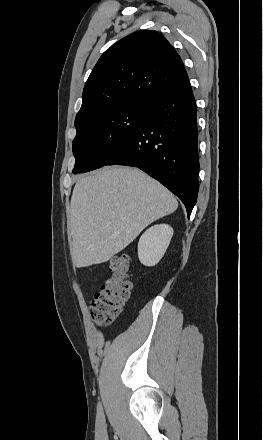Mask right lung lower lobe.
Returning <instances> with one entry per match:
<instances>
[{
    "mask_svg": "<svg viewBox=\"0 0 263 440\" xmlns=\"http://www.w3.org/2000/svg\"><path fill=\"white\" fill-rule=\"evenodd\" d=\"M197 109L189 79L148 102L138 128L106 165L137 167L185 205L188 217L198 195Z\"/></svg>",
    "mask_w": 263,
    "mask_h": 440,
    "instance_id": "right-lung-lower-lobe-1",
    "label": "right lung lower lobe"
}]
</instances>
